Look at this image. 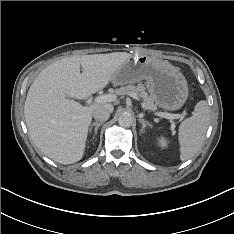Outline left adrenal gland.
Masks as SVG:
<instances>
[{"label":"left adrenal gland","mask_w":234,"mask_h":234,"mask_svg":"<svg viewBox=\"0 0 234 234\" xmlns=\"http://www.w3.org/2000/svg\"><path fill=\"white\" fill-rule=\"evenodd\" d=\"M139 122L142 123L141 133L145 130V128H146L147 126H149L150 128H152V125H151L148 121H145V120L142 119V118H139Z\"/></svg>","instance_id":"obj_1"}]
</instances>
